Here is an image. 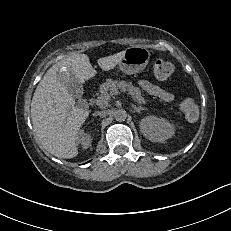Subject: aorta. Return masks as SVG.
Wrapping results in <instances>:
<instances>
[{
    "instance_id": "762f6f07",
    "label": "aorta",
    "mask_w": 231,
    "mask_h": 231,
    "mask_svg": "<svg viewBox=\"0 0 231 231\" xmlns=\"http://www.w3.org/2000/svg\"><path fill=\"white\" fill-rule=\"evenodd\" d=\"M127 112L124 109H118L114 112V118L116 121L122 122L127 119Z\"/></svg>"
}]
</instances>
